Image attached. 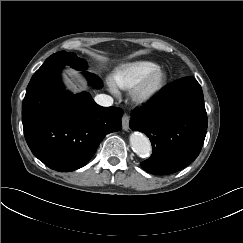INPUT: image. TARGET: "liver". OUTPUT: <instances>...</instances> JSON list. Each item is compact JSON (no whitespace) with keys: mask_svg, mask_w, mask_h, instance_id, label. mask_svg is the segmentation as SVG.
Instances as JSON below:
<instances>
[{"mask_svg":"<svg viewBox=\"0 0 243 243\" xmlns=\"http://www.w3.org/2000/svg\"><path fill=\"white\" fill-rule=\"evenodd\" d=\"M68 82L70 83L71 86H73L75 88L77 87V85H79L77 83H73V81H71V80H68Z\"/></svg>","mask_w":243,"mask_h":243,"instance_id":"1","label":"liver"}]
</instances>
